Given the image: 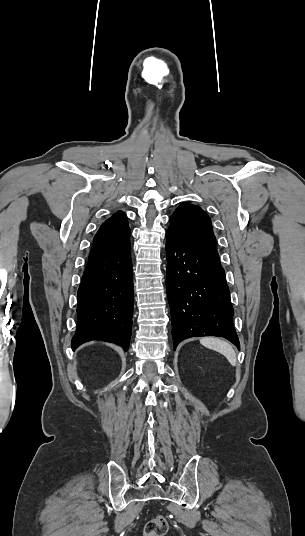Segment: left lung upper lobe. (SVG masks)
I'll use <instances>...</instances> for the list:
<instances>
[{
    "mask_svg": "<svg viewBox=\"0 0 305 536\" xmlns=\"http://www.w3.org/2000/svg\"><path fill=\"white\" fill-rule=\"evenodd\" d=\"M167 232L194 246L216 249L211 219L197 205L182 203L170 217Z\"/></svg>",
    "mask_w": 305,
    "mask_h": 536,
    "instance_id": "left-lung-upper-lobe-1",
    "label": "left lung upper lobe"
}]
</instances>
